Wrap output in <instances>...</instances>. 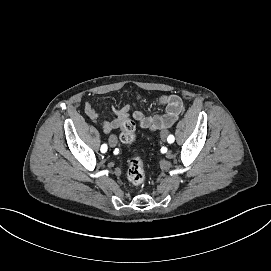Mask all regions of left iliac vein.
<instances>
[{
	"label": "left iliac vein",
	"mask_w": 271,
	"mask_h": 271,
	"mask_svg": "<svg viewBox=\"0 0 271 271\" xmlns=\"http://www.w3.org/2000/svg\"><path fill=\"white\" fill-rule=\"evenodd\" d=\"M160 136H161L162 140L165 141L167 139V136H168V130H166V129L162 130L161 133H160Z\"/></svg>",
	"instance_id": "4c4485c4"
}]
</instances>
